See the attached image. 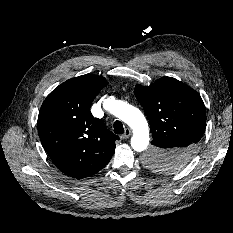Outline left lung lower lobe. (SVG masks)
Here are the masks:
<instances>
[{
	"label": "left lung lower lobe",
	"mask_w": 233,
	"mask_h": 233,
	"mask_svg": "<svg viewBox=\"0 0 233 233\" xmlns=\"http://www.w3.org/2000/svg\"><path fill=\"white\" fill-rule=\"evenodd\" d=\"M156 144L160 147H164L175 154L169 161L174 164L185 163L188 160L189 155L185 154V150L189 147L188 141L177 136L161 137L155 139Z\"/></svg>",
	"instance_id": "0a47b994"
}]
</instances>
